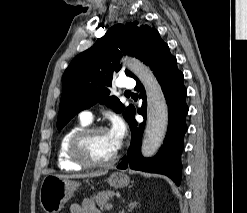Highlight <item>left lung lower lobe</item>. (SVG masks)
<instances>
[{
    "mask_svg": "<svg viewBox=\"0 0 247 213\" xmlns=\"http://www.w3.org/2000/svg\"><path fill=\"white\" fill-rule=\"evenodd\" d=\"M153 73L159 81L168 105V130L163 146L154 158H144L141 155V139L146 120V98L141 84H137L136 90L140 91L143 99L142 107L138 113L144 117V122L137 125L134 114L129 122L132 140L128 149V155L117 166L126 169L128 166L134 170L160 173L170 177L177 185L181 181V153L183 151V137L187 131L185 117L188 107L185 99L187 90L183 84V74L177 68V60L170 55L162 62L157 63Z\"/></svg>",
    "mask_w": 247,
    "mask_h": 213,
    "instance_id": "0a47b994",
    "label": "left lung lower lobe"
}]
</instances>
